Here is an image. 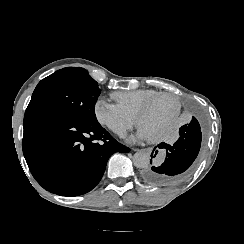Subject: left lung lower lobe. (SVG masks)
<instances>
[{"label":"left lung lower lobe","instance_id":"left-lung-lower-lobe-1","mask_svg":"<svg viewBox=\"0 0 244 244\" xmlns=\"http://www.w3.org/2000/svg\"><path fill=\"white\" fill-rule=\"evenodd\" d=\"M179 134V139L173 145L162 142L157 146L166 149L167 157L162 165L147 166L141 171L140 176L145 183L169 188L178 185L188 176L201 146L202 133L198 120L193 116L189 124L179 129ZM157 153L158 150H155V155Z\"/></svg>","mask_w":244,"mask_h":244}]
</instances>
